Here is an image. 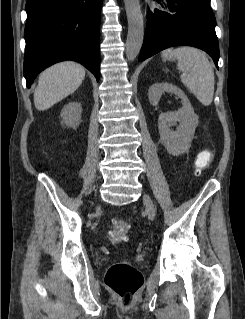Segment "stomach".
Returning <instances> with one entry per match:
<instances>
[{
	"label": "stomach",
	"instance_id": "stomach-1",
	"mask_svg": "<svg viewBox=\"0 0 245 319\" xmlns=\"http://www.w3.org/2000/svg\"><path fill=\"white\" fill-rule=\"evenodd\" d=\"M162 57H163L164 60H167V59L170 58V55H169L168 52H164V53L162 54Z\"/></svg>",
	"mask_w": 245,
	"mask_h": 319
}]
</instances>
